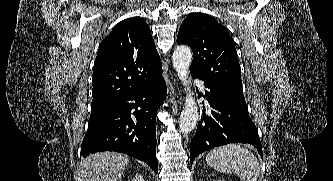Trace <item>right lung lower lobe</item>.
<instances>
[{
  "instance_id": "1",
  "label": "right lung lower lobe",
  "mask_w": 333,
  "mask_h": 181,
  "mask_svg": "<svg viewBox=\"0 0 333 181\" xmlns=\"http://www.w3.org/2000/svg\"><path fill=\"white\" fill-rule=\"evenodd\" d=\"M165 97L166 84L161 77L154 84L91 112L81 155L86 157L99 151L121 152L146 162L158 173L155 122ZM132 109H135L133 116Z\"/></svg>"
}]
</instances>
